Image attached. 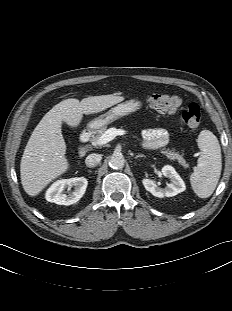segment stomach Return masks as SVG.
I'll use <instances>...</instances> for the list:
<instances>
[{
	"mask_svg": "<svg viewBox=\"0 0 232 311\" xmlns=\"http://www.w3.org/2000/svg\"><path fill=\"white\" fill-rule=\"evenodd\" d=\"M141 107V102L138 100H128L126 102L120 103L117 106L111 108L106 113L92 119L87 124V129L92 132H97L103 127H106L108 124L119 119L120 117L129 115L132 112H135Z\"/></svg>",
	"mask_w": 232,
	"mask_h": 311,
	"instance_id": "0dacf381",
	"label": "stomach"
}]
</instances>
